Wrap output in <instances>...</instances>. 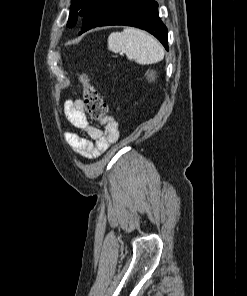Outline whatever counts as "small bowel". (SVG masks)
I'll use <instances>...</instances> for the list:
<instances>
[{"instance_id":"1","label":"small bowel","mask_w":247,"mask_h":296,"mask_svg":"<svg viewBox=\"0 0 247 296\" xmlns=\"http://www.w3.org/2000/svg\"><path fill=\"white\" fill-rule=\"evenodd\" d=\"M64 114L67 120L88 138L81 137L73 132H65L64 137L71 149L84 158L98 157L118 139V125L114 118L107 115L100 122L106 125V131L91 124L87 109L81 99L67 100L64 103Z\"/></svg>"}]
</instances>
